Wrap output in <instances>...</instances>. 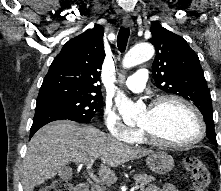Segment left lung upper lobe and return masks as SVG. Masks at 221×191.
Segmentation results:
<instances>
[{"label": "left lung upper lobe", "mask_w": 221, "mask_h": 191, "mask_svg": "<svg viewBox=\"0 0 221 191\" xmlns=\"http://www.w3.org/2000/svg\"><path fill=\"white\" fill-rule=\"evenodd\" d=\"M149 39L156 48L152 72L161 90L193 102L202 113L206 135L217 146L212 114V99L197 54L180 36L154 22Z\"/></svg>", "instance_id": "obj_1"}]
</instances>
